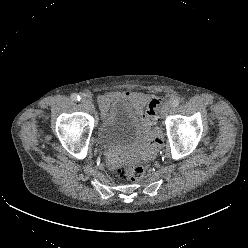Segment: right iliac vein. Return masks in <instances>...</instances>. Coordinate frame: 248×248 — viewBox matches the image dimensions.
Returning a JSON list of instances; mask_svg holds the SVG:
<instances>
[{"instance_id":"63e3f726","label":"right iliac vein","mask_w":248,"mask_h":248,"mask_svg":"<svg viewBox=\"0 0 248 248\" xmlns=\"http://www.w3.org/2000/svg\"><path fill=\"white\" fill-rule=\"evenodd\" d=\"M81 102L88 110H93L94 106L92 100L88 96H83Z\"/></svg>"}]
</instances>
